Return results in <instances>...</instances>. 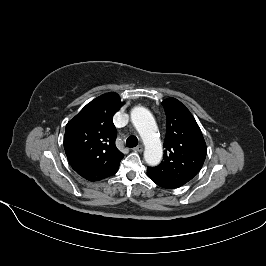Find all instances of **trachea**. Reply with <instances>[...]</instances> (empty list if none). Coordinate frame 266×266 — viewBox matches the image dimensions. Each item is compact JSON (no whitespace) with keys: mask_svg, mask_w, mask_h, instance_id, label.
Returning a JSON list of instances; mask_svg holds the SVG:
<instances>
[{"mask_svg":"<svg viewBox=\"0 0 266 266\" xmlns=\"http://www.w3.org/2000/svg\"><path fill=\"white\" fill-rule=\"evenodd\" d=\"M138 144V139L136 136H130L126 140V145L130 148L136 147Z\"/></svg>","mask_w":266,"mask_h":266,"instance_id":"obj_1","label":"trachea"}]
</instances>
